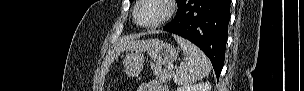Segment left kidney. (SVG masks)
Masks as SVG:
<instances>
[{
  "instance_id": "left-kidney-1",
  "label": "left kidney",
  "mask_w": 304,
  "mask_h": 91,
  "mask_svg": "<svg viewBox=\"0 0 304 91\" xmlns=\"http://www.w3.org/2000/svg\"><path fill=\"white\" fill-rule=\"evenodd\" d=\"M177 91H211V84L209 82H203L194 85H184L177 88Z\"/></svg>"
}]
</instances>
